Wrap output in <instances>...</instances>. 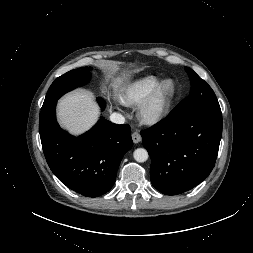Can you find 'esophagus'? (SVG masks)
<instances>
[{
  "label": "esophagus",
  "instance_id": "esophagus-1",
  "mask_svg": "<svg viewBox=\"0 0 253 253\" xmlns=\"http://www.w3.org/2000/svg\"><path fill=\"white\" fill-rule=\"evenodd\" d=\"M141 139H142V137L139 132L135 131L132 133V140L135 144L139 143L141 141Z\"/></svg>",
  "mask_w": 253,
  "mask_h": 253
}]
</instances>
